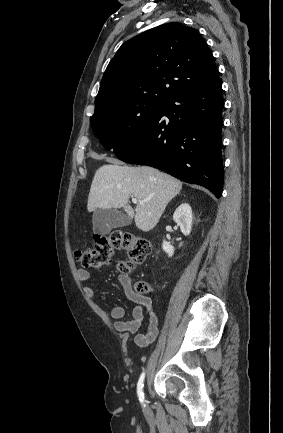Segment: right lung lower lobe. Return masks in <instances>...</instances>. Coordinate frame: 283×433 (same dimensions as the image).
Masks as SVG:
<instances>
[{
  "label": "right lung lower lobe",
  "mask_w": 283,
  "mask_h": 433,
  "mask_svg": "<svg viewBox=\"0 0 283 433\" xmlns=\"http://www.w3.org/2000/svg\"><path fill=\"white\" fill-rule=\"evenodd\" d=\"M222 85H206L168 99L135 141L116 156L148 165L188 183L223 190L221 155Z\"/></svg>",
  "instance_id": "1"
}]
</instances>
